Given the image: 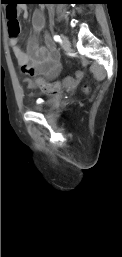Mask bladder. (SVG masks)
Returning a JSON list of instances; mask_svg holds the SVG:
<instances>
[{
  "label": "bladder",
  "instance_id": "31cf9c89",
  "mask_svg": "<svg viewBox=\"0 0 122 257\" xmlns=\"http://www.w3.org/2000/svg\"><path fill=\"white\" fill-rule=\"evenodd\" d=\"M54 99H55V97L50 98V99L47 101V103H46L45 106H39L37 109L40 110V111L46 110V109L54 102Z\"/></svg>",
  "mask_w": 122,
  "mask_h": 257
}]
</instances>
